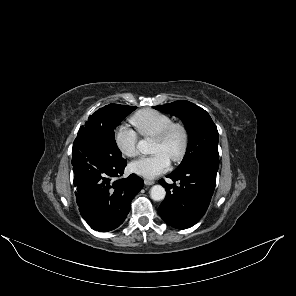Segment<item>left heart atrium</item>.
I'll use <instances>...</instances> for the list:
<instances>
[{"label": "left heart atrium", "mask_w": 296, "mask_h": 296, "mask_svg": "<svg viewBox=\"0 0 296 296\" xmlns=\"http://www.w3.org/2000/svg\"><path fill=\"white\" fill-rule=\"evenodd\" d=\"M170 157L160 151L150 156L141 157L130 164V169L145 178H154L170 167Z\"/></svg>", "instance_id": "left-heart-atrium-1"}]
</instances>
